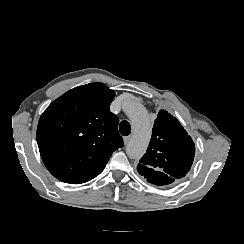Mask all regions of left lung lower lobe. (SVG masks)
Listing matches in <instances>:
<instances>
[{
  "label": "left lung lower lobe",
  "instance_id": "obj_1",
  "mask_svg": "<svg viewBox=\"0 0 244 244\" xmlns=\"http://www.w3.org/2000/svg\"><path fill=\"white\" fill-rule=\"evenodd\" d=\"M176 181L175 179H172V182Z\"/></svg>",
  "mask_w": 244,
  "mask_h": 244
}]
</instances>
